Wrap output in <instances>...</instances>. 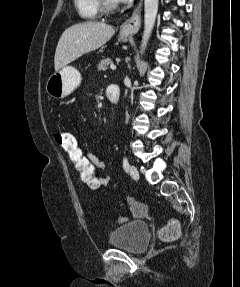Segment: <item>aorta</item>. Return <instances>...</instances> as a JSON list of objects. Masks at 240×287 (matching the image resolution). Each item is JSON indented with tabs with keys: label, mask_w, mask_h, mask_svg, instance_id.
<instances>
[{
	"label": "aorta",
	"mask_w": 240,
	"mask_h": 287,
	"mask_svg": "<svg viewBox=\"0 0 240 287\" xmlns=\"http://www.w3.org/2000/svg\"><path fill=\"white\" fill-rule=\"evenodd\" d=\"M159 0H144V32L141 41V54L145 51L155 25Z\"/></svg>",
	"instance_id": "1"
}]
</instances>
